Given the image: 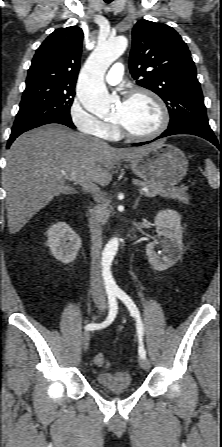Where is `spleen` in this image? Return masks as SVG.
I'll list each match as a JSON object with an SVG mask.
<instances>
[{"mask_svg":"<svg viewBox=\"0 0 222 447\" xmlns=\"http://www.w3.org/2000/svg\"><path fill=\"white\" fill-rule=\"evenodd\" d=\"M206 176L212 188L220 187V174L210 159H206Z\"/></svg>","mask_w":222,"mask_h":447,"instance_id":"1","label":"spleen"}]
</instances>
